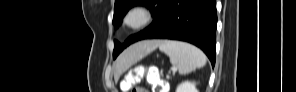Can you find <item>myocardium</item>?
<instances>
[{"mask_svg": "<svg viewBox=\"0 0 296 92\" xmlns=\"http://www.w3.org/2000/svg\"><path fill=\"white\" fill-rule=\"evenodd\" d=\"M137 18L135 21L134 18ZM151 10L144 5H137L129 9L124 17V25L131 30H138L148 25L152 20Z\"/></svg>", "mask_w": 296, "mask_h": 92, "instance_id": "myocardium-1", "label": "myocardium"}]
</instances>
